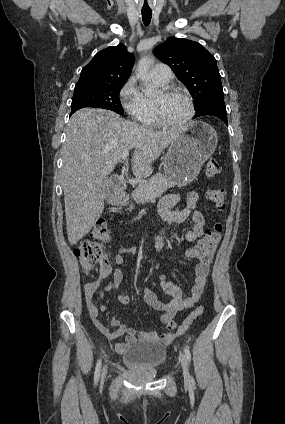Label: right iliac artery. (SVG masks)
Here are the masks:
<instances>
[{
    "label": "right iliac artery",
    "instance_id": "1",
    "mask_svg": "<svg viewBox=\"0 0 285 424\" xmlns=\"http://www.w3.org/2000/svg\"><path fill=\"white\" fill-rule=\"evenodd\" d=\"M101 364H102V361H101V359H99L97 364H96L95 373H94L95 384H97L99 377H100Z\"/></svg>",
    "mask_w": 285,
    "mask_h": 424
}]
</instances>
